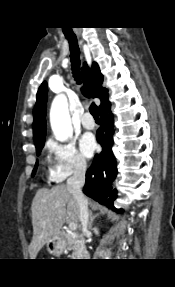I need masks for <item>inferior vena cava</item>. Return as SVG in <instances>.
I'll return each instance as SVG.
<instances>
[{"instance_id":"602c4592","label":"inferior vena cava","mask_w":175,"mask_h":287,"mask_svg":"<svg viewBox=\"0 0 175 287\" xmlns=\"http://www.w3.org/2000/svg\"><path fill=\"white\" fill-rule=\"evenodd\" d=\"M85 174H86V162L81 160L77 163L73 176L68 178L67 187L72 192L73 197L78 204L82 231L84 233H87L88 216H89L88 201L82 192V187L85 183Z\"/></svg>"}]
</instances>
